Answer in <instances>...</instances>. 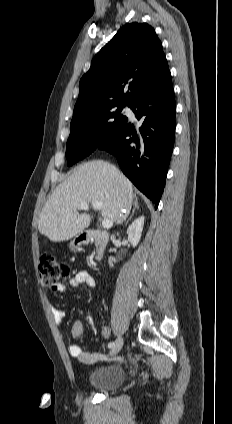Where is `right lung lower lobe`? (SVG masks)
Returning <instances> with one entry per match:
<instances>
[{
    "instance_id": "obj_1",
    "label": "right lung lower lobe",
    "mask_w": 232,
    "mask_h": 424,
    "mask_svg": "<svg viewBox=\"0 0 232 424\" xmlns=\"http://www.w3.org/2000/svg\"><path fill=\"white\" fill-rule=\"evenodd\" d=\"M130 108L143 121L139 132H133L127 122L100 149L116 156L123 173L157 209L175 137L176 104L170 71Z\"/></svg>"
}]
</instances>
